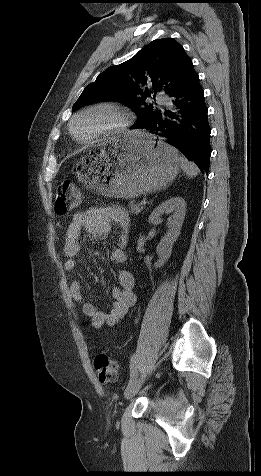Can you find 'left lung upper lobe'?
I'll use <instances>...</instances> for the list:
<instances>
[{"label":"left lung upper lobe","instance_id":"left-lung-upper-lobe-1","mask_svg":"<svg viewBox=\"0 0 261 476\" xmlns=\"http://www.w3.org/2000/svg\"><path fill=\"white\" fill-rule=\"evenodd\" d=\"M192 65L184 48L175 40H154L131 59L99 74L95 82L86 86L72 110L99 101H120L138 116L131 128H140L160 113L145 102L152 90L173 93Z\"/></svg>","mask_w":261,"mask_h":476}]
</instances>
